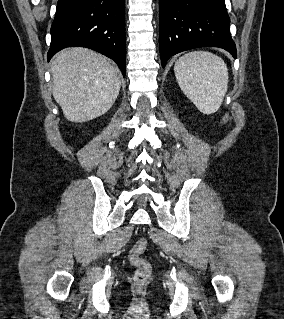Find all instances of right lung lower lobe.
I'll return each instance as SVG.
<instances>
[{
    "mask_svg": "<svg viewBox=\"0 0 284 319\" xmlns=\"http://www.w3.org/2000/svg\"><path fill=\"white\" fill-rule=\"evenodd\" d=\"M93 49L126 73L125 0H58L48 61L66 47Z\"/></svg>",
    "mask_w": 284,
    "mask_h": 319,
    "instance_id": "1",
    "label": "right lung lower lobe"
}]
</instances>
